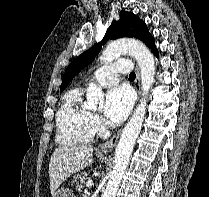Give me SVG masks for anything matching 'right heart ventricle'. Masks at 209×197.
<instances>
[{"label":"right heart ventricle","instance_id":"obj_1","mask_svg":"<svg viewBox=\"0 0 209 197\" xmlns=\"http://www.w3.org/2000/svg\"><path fill=\"white\" fill-rule=\"evenodd\" d=\"M57 141L63 145H77L91 142L95 129L92 114L84 106L82 90H69L56 115Z\"/></svg>","mask_w":209,"mask_h":197}]
</instances>
